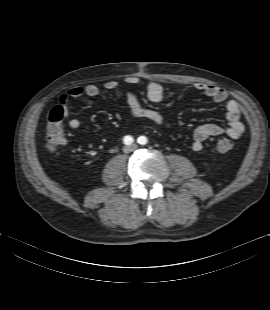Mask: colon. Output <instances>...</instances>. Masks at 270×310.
I'll use <instances>...</instances> for the list:
<instances>
[{
	"label": "colon",
	"instance_id": "colon-1",
	"mask_svg": "<svg viewBox=\"0 0 270 310\" xmlns=\"http://www.w3.org/2000/svg\"><path fill=\"white\" fill-rule=\"evenodd\" d=\"M63 118L64 112L59 106H55L48 118L46 128V142L50 151H55L65 142L64 130H63ZM216 149L219 152H229L233 143L226 137H219L216 139Z\"/></svg>",
	"mask_w": 270,
	"mask_h": 310
}]
</instances>
